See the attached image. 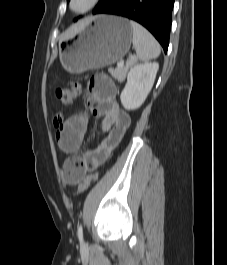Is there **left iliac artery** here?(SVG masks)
<instances>
[{
	"instance_id": "1",
	"label": "left iliac artery",
	"mask_w": 227,
	"mask_h": 265,
	"mask_svg": "<svg viewBox=\"0 0 227 265\" xmlns=\"http://www.w3.org/2000/svg\"><path fill=\"white\" fill-rule=\"evenodd\" d=\"M78 237H79V240H80V242H82L83 241V230H82V225H80L79 226V228H78Z\"/></svg>"
}]
</instances>
